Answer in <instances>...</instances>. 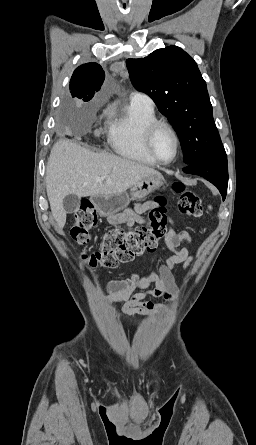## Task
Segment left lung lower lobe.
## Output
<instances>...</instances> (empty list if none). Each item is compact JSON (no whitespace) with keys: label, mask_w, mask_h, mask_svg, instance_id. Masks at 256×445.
Here are the masks:
<instances>
[{"label":"left lung lower lobe","mask_w":256,"mask_h":445,"mask_svg":"<svg viewBox=\"0 0 256 445\" xmlns=\"http://www.w3.org/2000/svg\"><path fill=\"white\" fill-rule=\"evenodd\" d=\"M183 171L206 178L219 189L225 199L228 185L227 156L196 161L183 168Z\"/></svg>","instance_id":"left-lung-lower-lobe-1"}]
</instances>
